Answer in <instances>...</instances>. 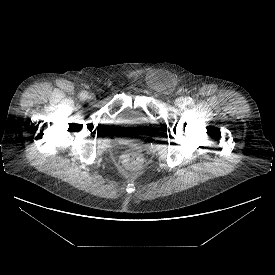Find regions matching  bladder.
Returning <instances> with one entry per match:
<instances>
[{
  "mask_svg": "<svg viewBox=\"0 0 275 275\" xmlns=\"http://www.w3.org/2000/svg\"><path fill=\"white\" fill-rule=\"evenodd\" d=\"M115 124L120 127H135V128H144L148 125L146 119H139L137 121L130 120L121 115H118L114 118Z\"/></svg>",
  "mask_w": 275,
  "mask_h": 275,
  "instance_id": "31cf9c89",
  "label": "bladder"
}]
</instances>
